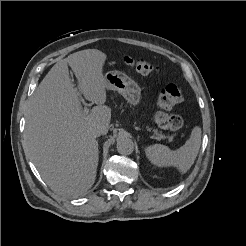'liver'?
I'll use <instances>...</instances> for the list:
<instances>
[{"label":"liver","mask_w":246,"mask_h":246,"mask_svg":"<svg viewBox=\"0 0 246 246\" xmlns=\"http://www.w3.org/2000/svg\"><path fill=\"white\" fill-rule=\"evenodd\" d=\"M106 58L97 49H87L60 60L29 102L24 145L43 180L57 193L77 197L95 182L99 157L92 129L104 126L108 131L111 120L102 73ZM68 65L85 99L97 104L87 115L69 77Z\"/></svg>","instance_id":"6515ba94"}]
</instances>
